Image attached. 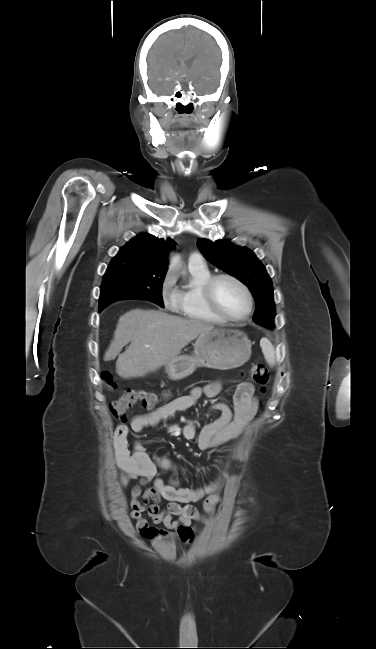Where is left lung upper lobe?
<instances>
[{"label":"left lung upper lobe","mask_w":376,"mask_h":649,"mask_svg":"<svg viewBox=\"0 0 376 649\" xmlns=\"http://www.w3.org/2000/svg\"><path fill=\"white\" fill-rule=\"evenodd\" d=\"M197 245L212 264L239 279L253 292L256 299L253 320L266 327L274 326L272 282L255 254L245 247L234 246L225 240L211 242L199 239Z\"/></svg>","instance_id":"1"}]
</instances>
